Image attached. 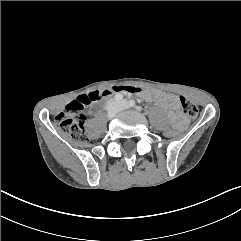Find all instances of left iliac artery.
Listing matches in <instances>:
<instances>
[{"instance_id": "1", "label": "left iliac artery", "mask_w": 241, "mask_h": 241, "mask_svg": "<svg viewBox=\"0 0 241 241\" xmlns=\"http://www.w3.org/2000/svg\"><path fill=\"white\" fill-rule=\"evenodd\" d=\"M129 105H130L131 107H134V106H135L138 110H141V108H140L139 106H136V105H135V101H134V100H130V101H129Z\"/></svg>"}]
</instances>
